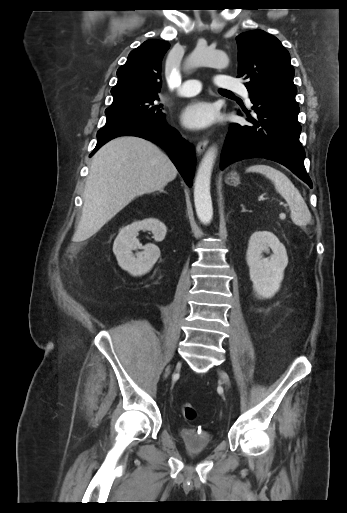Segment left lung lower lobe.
Here are the masks:
<instances>
[{"label":"left lung lower lobe","mask_w":347,"mask_h":513,"mask_svg":"<svg viewBox=\"0 0 347 513\" xmlns=\"http://www.w3.org/2000/svg\"><path fill=\"white\" fill-rule=\"evenodd\" d=\"M249 97L252 114L244 110L245 122L230 125L221 153V169L246 158H266L286 166L312 188L299 141L301 126L295 96L260 93ZM238 115L243 116L240 112Z\"/></svg>","instance_id":"left-lung-lower-lobe-1"}]
</instances>
